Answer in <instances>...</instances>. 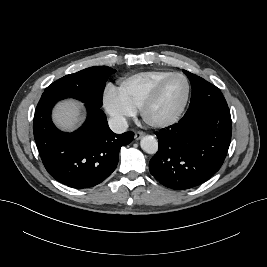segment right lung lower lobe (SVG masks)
Wrapping results in <instances>:
<instances>
[{
    "mask_svg": "<svg viewBox=\"0 0 267 267\" xmlns=\"http://www.w3.org/2000/svg\"><path fill=\"white\" fill-rule=\"evenodd\" d=\"M65 97L43 94L34 115L33 131L48 173L72 188L93 187L116 168L119 150L129 144L133 132L113 133L100 107L87 104V119L73 133L58 130L51 120L53 106Z\"/></svg>",
    "mask_w": 267,
    "mask_h": 267,
    "instance_id": "right-lung-lower-lobe-1",
    "label": "right lung lower lobe"
}]
</instances>
